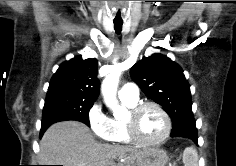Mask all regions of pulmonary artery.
Wrapping results in <instances>:
<instances>
[{"mask_svg":"<svg viewBox=\"0 0 236 166\" xmlns=\"http://www.w3.org/2000/svg\"><path fill=\"white\" fill-rule=\"evenodd\" d=\"M119 97L121 99L130 100L133 102L139 99V89L135 83L125 84L119 91Z\"/></svg>","mask_w":236,"mask_h":166,"instance_id":"pulmonary-artery-1","label":"pulmonary artery"}]
</instances>
